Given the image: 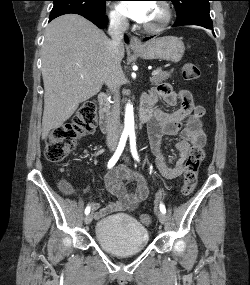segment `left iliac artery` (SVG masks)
<instances>
[{"mask_svg":"<svg viewBox=\"0 0 250 285\" xmlns=\"http://www.w3.org/2000/svg\"><path fill=\"white\" fill-rule=\"evenodd\" d=\"M130 149H131V153L132 156L135 160L139 161V157H138V153L136 150V139H135V134L134 133H130ZM160 211L163 213H166V208L164 206V204H160Z\"/></svg>","mask_w":250,"mask_h":285,"instance_id":"left-iliac-artery-1","label":"left iliac artery"}]
</instances>
